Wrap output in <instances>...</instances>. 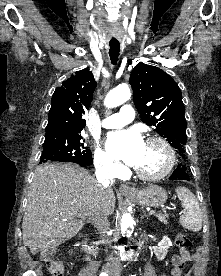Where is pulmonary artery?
Masks as SVG:
<instances>
[{
  "label": "pulmonary artery",
  "instance_id": "e3ab8cb5",
  "mask_svg": "<svg viewBox=\"0 0 221 276\" xmlns=\"http://www.w3.org/2000/svg\"><path fill=\"white\" fill-rule=\"evenodd\" d=\"M134 116L133 107L126 104L120 108L118 113L106 117L102 121V126L108 129L119 128L130 123L134 119Z\"/></svg>",
  "mask_w": 221,
  "mask_h": 276
}]
</instances>
